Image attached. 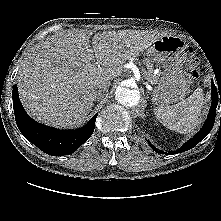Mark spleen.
Listing matches in <instances>:
<instances>
[{
  "label": "spleen",
  "instance_id": "1",
  "mask_svg": "<svg viewBox=\"0 0 221 221\" xmlns=\"http://www.w3.org/2000/svg\"><path fill=\"white\" fill-rule=\"evenodd\" d=\"M203 91L197 88L194 93L175 105L158 106L154 113L167 128L187 134L202 123Z\"/></svg>",
  "mask_w": 221,
  "mask_h": 221
}]
</instances>
